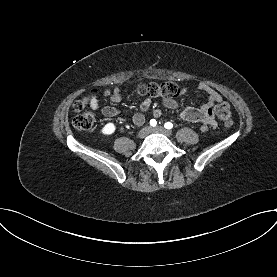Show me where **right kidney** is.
<instances>
[{
    "label": "right kidney",
    "instance_id": "ca27d5eb",
    "mask_svg": "<svg viewBox=\"0 0 277 277\" xmlns=\"http://www.w3.org/2000/svg\"><path fill=\"white\" fill-rule=\"evenodd\" d=\"M115 130L116 126L114 123L109 122L101 129V133L104 135H111L115 132Z\"/></svg>",
    "mask_w": 277,
    "mask_h": 277
}]
</instances>
